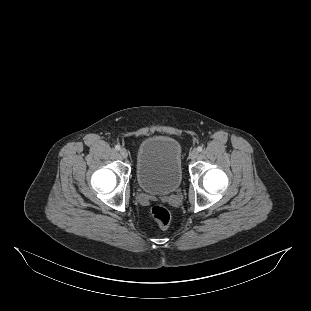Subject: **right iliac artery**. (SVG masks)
<instances>
[{"mask_svg":"<svg viewBox=\"0 0 311 311\" xmlns=\"http://www.w3.org/2000/svg\"><path fill=\"white\" fill-rule=\"evenodd\" d=\"M115 149H116V150H120V146H119V145H116V146H115Z\"/></svg>","mask_w":311,"mask_h":311,"instance_id":"right-iliac-artery-1","label":"right iliac artery"}]
</instances>
